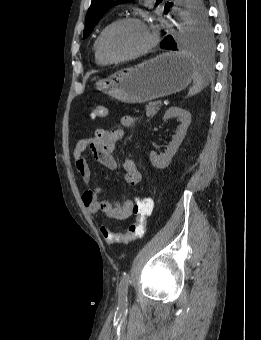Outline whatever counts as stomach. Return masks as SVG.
I'll return each instance as SVG.
<instances>
[{
	"label": "stomach",
	"mask_w": 261,
	"mask_h": 340,
	"mask_svg": "<svg viewBox=\"0 0 261 340\" xmlns=\"http://www.w3.org/2000/svg\"><path fill=\"white\" fill-rule=\"evenodd\" d=\"M193 72V61L185 55L163 53L99 80L96 87L118 101L144 103L185 89Z\"/></svg>",
	"instance_id": "1"
}]
</instances>
